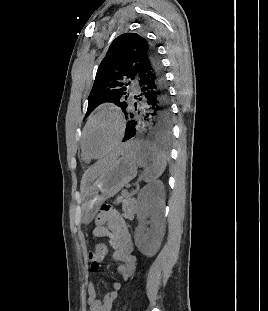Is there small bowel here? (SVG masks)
<instances>
[{
	"label": "small bowel",
	"mask_w": 268,
	"mask_h": 311,
	"mask_svg": "<svg viewBox=\"0 0 268 311\" xmlns=\"http://www.w3.org/2000/svg\"><path fill=\"white\" fill-rule=\"evenodd\" d=\"M93 235L108 240L113 249V259L119 262L117 272L124 281H127L135 272L136 257L133 254V245L126 222L120 213L116 209L104 205L97 215ZM120 288V283H114V290L108 293L103 300H99L94 283L89 280L87 283L88 311H111Z\"/></svg>",
	"instance_id": "obj_1"
}]
</instances>
